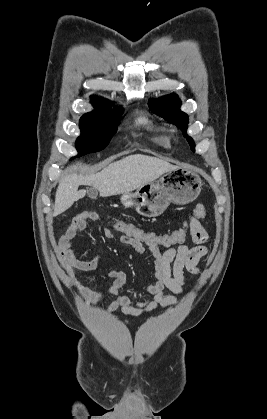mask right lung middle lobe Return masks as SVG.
Masks as SVG:
<instances>
[{
	"label": "right lung middle lobe",
	"instance_id": "dd1d6c3e",
	"mask_svg": "<svg viewBox=\"0 0 267 419\" xmlns=\"http://www.w3.org/2000/svg\"><path fill=\"white\" fill-rule=\"evenodd\" d=\"M95 111L83 115L80 119L81 135L76 140V148L82 156L104 149L117 131L122 114V107L111 109L107 102L94 103Z\"/></svg>",
	"mask_w": 267,
	"mask_h": 419
}]
</instances>
